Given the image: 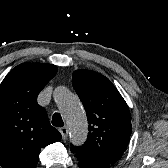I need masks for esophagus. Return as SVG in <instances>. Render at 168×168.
I'll list each match as a JSON object with an SVG mask.
<instances>
[{
  "instance_id": "esophagus-1",
  "label": "esophagus",
  "mask_w": 168,
  "mask_h": 168,
  "mask_svg": "<svg viewBox=\"0 0 168 168\" xmlns=\"http://www.w3.org/2000/svg\"><path fill=\"white\" fill-rule=\"evenodd\" d=\"M63 139H66L68 136V128L67 127H62L59 129Z\"/></svg>"
}]
</instances>
